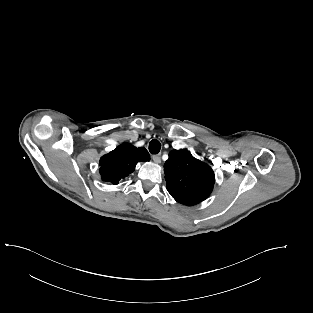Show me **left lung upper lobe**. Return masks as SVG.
Listing matches in <instances>:
<instances>
[{
    "label": "left lung upper lobe",
    "mask_w": 313,
    "mask_h": 313,
    "mask_svg": "<svg viewBox=\"0 0 313 313\" xmlns=\"http://www.w3.org/2000/svg\"><path fill=\"white\" fill-rule=\"evenodd\" d=\"M164 172L168 192L181 204L196 205L213 190L215 175L212 168L185 149L169 153Z\"/></svg>",
    "instance_id": "5c2ea615"
}]
</instances>
